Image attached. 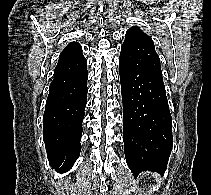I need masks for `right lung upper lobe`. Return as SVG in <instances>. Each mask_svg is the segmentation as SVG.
<instances>
[{
	"mask_svg": "<svg viewBox=\"0 0 211 195\" xmlns=\"http://www.w3.org/2000/svg\"><path fill=\"white\" fill-rule=\"evenodd\" d=\"M87 64L82 54L81 45L77 42L69 43L59 55L54 76L75 71Z\"/></svg>",
	"mask_w": 211,
	"mask_h": 195,
	"instance_id": "1",
	"label": "right lung upper lobe"
}]
</instances>
